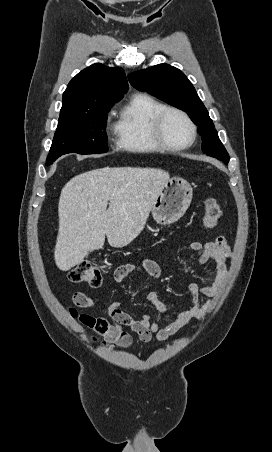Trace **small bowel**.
Segmentation results:
<instances>
[{
	"label": "small bowel",
	"mask_w": 272,
	"mask_h": 452,
	"mask_svg": "<svg viewBox=\"0 0 272 452\" xmlns=\"http://www.w3.org/2000/svg\"><path fill=\"white\" fill-rule=\"evenodd\" d=\"M189 249L198 254L197 263L202 265L207 261L213 264V281L209 285L191 283L188 286L191 295V304L188 309L178 311L173 320L164 327L161 322L166 315V307L156 292L147 294L148 301L155 306L158 315L154 322H151V315L144 314L139 319H133L121 308L118 302H112L100 306L101 316L90 314H78L71 308L70 313L77 318L86 328L95 331L103 338V342L109 347L127 348L131 344L130 332L138 334L144 342H149L153 337L158 341H165L185 328L189 322L203 317L212 305V300L216 298L224 287L228 278V261L232 258L233 252L224 235H219L215 240L201 243L198 241L189 242ZM143 273L153 278H159L161 269L159 265L151 259H143L138 262L125 263L118 266L114 272L117 282L124 281L129 275ZM208 300L202 302V298ZM74 303L85 309H90L98 304V299L82 292L73 295ZM96 340V338H93Z\"/></svg>",
	"instance_id": "small-bowel-1"
}]
</instances>
